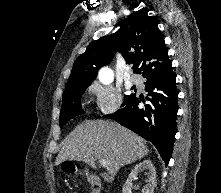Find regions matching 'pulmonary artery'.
<instances>
[{
    "label": "pulmonary artery",
    "mask_w": 221,
    "mask_h": 193,
    "mask_svg": "<svg viewBox=\"0 0 221 193\" xmlns=\"http://www.w3.org/2000/svg\"><path fill=\"white\" fill-rule=\"evenodd\" d=\"M131 80V83L134 84V85H140L141 84V79L138 75L136 74H133L130 78Z\"/></svg>",
    "instance_id": "pulmonary-artery-1"
}]
</instances>
